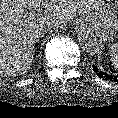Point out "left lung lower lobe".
Masks as SVG:
<instances>
[{
  "mask_svg": "<svg viewBox=\"0 0 118 118\" xmlns=\"http://www.w3.org/2000/svg\"><path fill=\"white\" fill-rule=\"evenodd\" d=\"M92 67H93L94 72H96V74L100 78H103L105 80L114 81V82L118 81V76H113V75L106 74L105 72L100 71L95 65H92Z\"/></svg>",
  "mask_w": 118,
  "mask_h": 118,
  "instance_id": "left-lung-lower-lobe-1",
  "label": "left lung lower lobe"
}]
</instances>
